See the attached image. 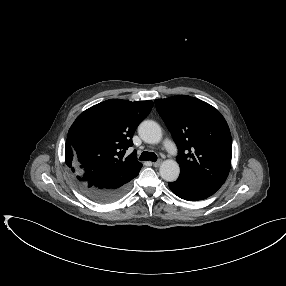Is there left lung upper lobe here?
<instances>
[{
    "label": "left lung upper lobe",
    "instance_id": "obj_1",
    "mask_svg": "<svg viewBox=\"0 0 286 286\" xmlns=\"http://www.w3.org/2000/svg\"><path fill=\"white\" fill-rule=\"evenodd\" d=\"M155 105L178 147L180 173L222 186L231 166L232 139L220 112L187 95L157 99Z\"/></svg>",
    "mask_w": 286,
    "mask_h": 286
}]
</instances>
